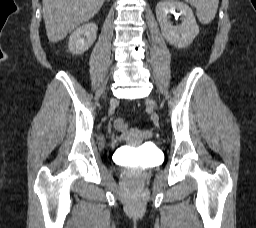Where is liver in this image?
<instances>
[{
    "mask_svg": "<svg viewBox=\"0 0 256 228\" xmlns=\"http://www.w3.org/2000/svg\"><path fill=\"white\" fill-rule=\"evenodd\" d=\"M105 0H43V19L50 42L63 40L93 18Z\"/></svg>",
    "mask_w": 256,
    "mask_h": 228,
    "instance_id": "1",
    "label": "liver"
}]
</instances>
